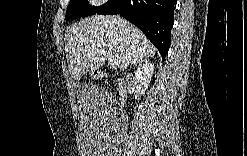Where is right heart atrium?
<instances>
[{"mask_svg":"<svg viewBox=\"0 0 247 156\" xmlns=\"http://www.w3.org/2000/svg\"><path fill=\"white\" fill-rule=\"evenodd\" d=\"M97 5H100L101 4V2H99V1H97V2H95Z\"/></svg>","mask_w":247,"mask_h":156,"instance_id":"obj_1","label":"right heart atrium"}]
</instances>
